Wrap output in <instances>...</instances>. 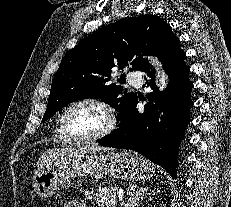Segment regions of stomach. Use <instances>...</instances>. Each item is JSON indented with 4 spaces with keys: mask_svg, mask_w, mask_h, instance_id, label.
Returning <instances> with one entry per match:
<instances>
[{
    "mask_svg": "<svg viewBox=\"0 0 231 207\" xmlns=\"http://www.w3.org/2000/svg\"><path fill=\"white\" fill-rule=\"evenodd\" d=\"M150 164L129 152L75 153L55 160L51 166L43 168L33 176L32 187L41 198L55 194L65 183L75 177H113L138 181L152 176Z\"/></svg>",
    "mask_w": 231,
    "mask_h": 207,
    "instance_id": "obj_1",
    "label": "stomach"
}]
</instances>
